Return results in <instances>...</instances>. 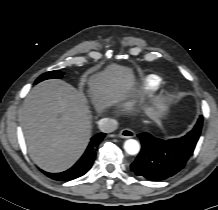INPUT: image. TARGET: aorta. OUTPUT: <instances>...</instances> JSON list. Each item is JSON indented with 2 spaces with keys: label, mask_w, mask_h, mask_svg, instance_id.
Wrapping results in <instances>:
<instances>
[{
  "label": "aorta",
  "mask_w": 218,
  "mask_h": 210,
  "mask_svg": "<svg viewBox=\"0 0 218 210\" xmlns=\"http://www.w3.org/2000/svg\"><path fill=\"white\" fill-rule=\"evenodd\" d=\"M124 149L129 155H135L140 151V145L135 139H128L124 143Z\"/></svg>",
  "instance_id": "aorta-1"
}]
</instances>
